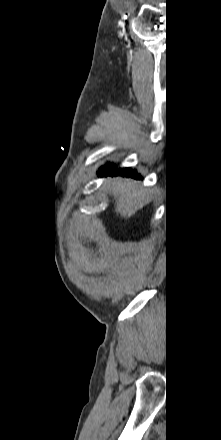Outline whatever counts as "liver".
Here are the masks:
<instances>
[{
	"label": "liver",
	"instance_id": "1",
	"mask_svg": "<svg viewBox=\"0 0 221 440\" xmlns=\"http://www.w3.org/2000/svg\"><path fill=\"white\" fill-rule=\"evenodd\" d=\"M107 187L115 198V211L128 218L148 201V190L141 188L136 181L114 178Z\"/></svg>",
	"mask_w": 221,
	"mask_h": 440
}]
</instances>
